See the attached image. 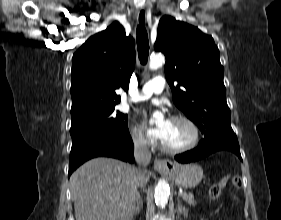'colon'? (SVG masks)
I'll return each instance as SVG.
<instances>
[{
	"mask_svg": "<svg viewBox=\"0 0 281 220\" xmlns=\"http://www.w3.org/2000/svg\"><path fill=\"white\" fill-rule=\"evenodd\" d=\"M226 180L227 179L224 178V179L214 183L210 187V189H209V197L211 199H217L220 196V194H221V192H222V190H223V188H224V186L226 184ZM231 181H232V184L234 185V187L238 188L240 186V178L238 176H233L231 178Z\"/></svg>",
	"mask_w": 281,
	"mask_h": 220,
	"instance_id": "5ec220e1",
	"label": "colon"
}]
</instances>
